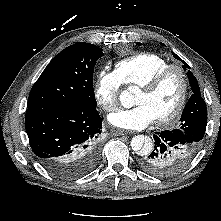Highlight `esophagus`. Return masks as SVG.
I'll use <instances>...</instances> for the list:
<instances>
[{"mask_svg":"<svg viewBox=\"0 0 221 221\" xmlns=\"http://www.w3.org/2000/svg\"><path fill=\"white\" fill-rule=\"evenodd\" d=\"M127 132L123 131V130H116L113 132V135L115 136H121V135H125Z\"/></svg>","mask_w":221,"mask_h":221,"instance_id":"1","label":"esophagus"}]
</instances>
